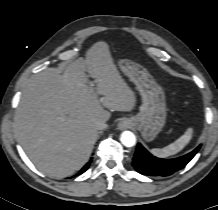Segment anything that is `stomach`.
I'll return each instance as SVG.
<instances>
[{"label": "stomach", "mask_w": 218, "mask_h": 210, "mask_svg": "<svg viewBox=\"0 0 218 210\" xmlns=\"http://www.w3.org/2000/svg\"><path fill=\"white\" fill-rule=\"evenodd\" d=\"M120 69L136 85L142 105L136 116L131 118L133 125L141 132L142 137L152 141L162 130L166 120V102L162 87L140 65L122 60Z\"/></svg>", "instance_id": "obj_1"}]
</instances>
